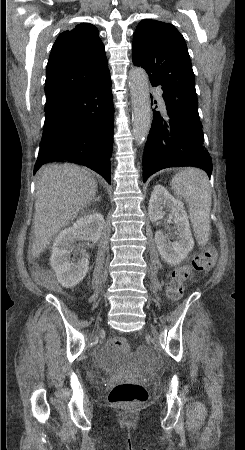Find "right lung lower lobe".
Instances as JSON below:
<instances>
[{
    "mask_svg": "<svg viewBox=\"0 0 245 450\" xmlns=\"http://www.w3.org/2000/svg\"><path fill=\"white\" fill-rule=\"evenodd\" d=\"M114 106L110 73L45 110L34 174L48 162L82 164L110 183Z\"/></svg>",
    "mask_w": 245,
    "mask_h": 450,
    "instance_id": "1",
    "label": "right lung lower lobe"
}]
</instances>
